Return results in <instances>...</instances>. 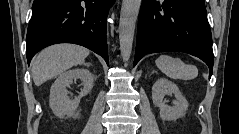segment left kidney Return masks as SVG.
<instances>
[{
  "label": "left kidney",
  "instance_id": "obj_1",
  "mask_svg": "<svg viewBox=\"0 0 239 134\" xmlns=\"http://www.w3.org/2000/svg\"><path fill=\"white\" fill-rule=\"evenodd\" d=\"M166 94H174L176 101L169 106L164 101ZM152 100L155 106L160 108L162 120L173 121L183 117L188 109V102L179 88L166 78L158 79L152 87Z\"/></svg>",
  "mask_w": 239,
  "mask_h": 134
}]
</instances>
